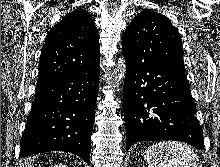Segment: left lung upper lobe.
<instances>
[{"label":"left lung upper lobe","mask_w":220,"mask_h":167,"mask_svg":"<svg viewBox=\"0 0 220 167\" xmlns=\"http://www.w3.org/2000/svg\"><path fill=\"white\" fill-rule=\"evenodd\" d=\"M123 55L185 73L178 30L160 13L143 10L129 24L122 40Z\"/></svg>","instance_id":"5c2ea615"}]
</instances>
